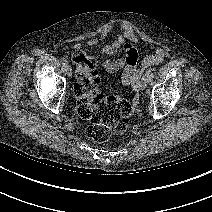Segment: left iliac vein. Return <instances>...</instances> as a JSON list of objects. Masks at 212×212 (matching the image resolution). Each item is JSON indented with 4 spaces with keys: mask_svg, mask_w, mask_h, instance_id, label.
<instances>
[{
    "mask_svg": "<svg viewBox=\"0 0 212 212\" xmlns=\"http://www.w3.org/2000/svg\"><path fill=\"white\" fill-rule=\"evenodd\" d=\"M146 86H147V83L144 80H142L141 83L139 84V89L144 90Z\"/></svg>",
    "mask_w": 212,
    "mask_h": 212,
    "instance_id": "4c4485c4",
    "label": "left iliac vein"
}]
</instances>
